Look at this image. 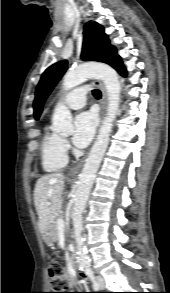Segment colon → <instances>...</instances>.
I'll list each match as a JSON object with an SVG mask.
<instances>
[{"label":"colon","instance_id":"colon-1","mask_svg":"<svg viewBox=\"0 0 170 293\" xmlns=\"http://www.w3.org/2000/svg\"><path fill=\"white\" fill-rule=\"evenodd\" d=\"M48 274L52 286V293H63L69 284V275L67 269L56 261H52L48 267Z\"/></svg>","mask_w":170,"mask_h":293}]
</instances>
